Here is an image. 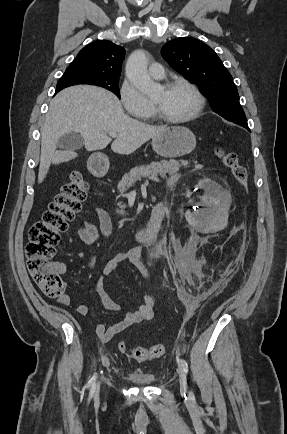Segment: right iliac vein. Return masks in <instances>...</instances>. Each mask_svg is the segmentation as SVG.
Masks as SVG:
<instances>
[{
	"mask_svg": "<svg viewBox=\"0 0 287 434\" xmlns=\"http://www.w3.org/2000/svg\"><path fill=\"white\" fill-rule=\"evenodd\" d=\"M99 389H100V386L98 385V386H97V389H96V395H98V393H99Z\"/></svg>",
	"mask_w": 287,
	"mask_h": 434,
	"instance_id": "1",
	"label": "right iliac vein"
}]
</instances>
